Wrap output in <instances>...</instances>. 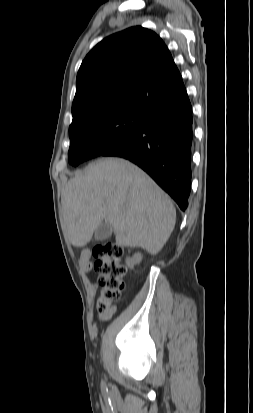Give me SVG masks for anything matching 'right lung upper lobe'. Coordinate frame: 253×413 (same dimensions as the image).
I'll return each mask as SVG.
<instances>
[{
  "mask_svg": "<svg viewBox=\"0 0 253 413\" xmlns=\"http://www.w3.org/2000/svg\"><path fill=\"white\" fill-rule=\"evenodd\" d=\"M186 96L165 43L136 26L105 38L85 57L77 73L72 115L74 120L110 107L149 111Z\"/></svg>",
  "mask_w": 253,
  "mask_h": 413,
  "instance_id": "right-lung-upper-lobe-1",
  "label": "right lung upper lobe"
}]
</instances>
